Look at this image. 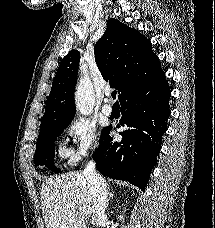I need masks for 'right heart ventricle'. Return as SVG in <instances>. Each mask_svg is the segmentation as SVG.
Wrapping results in <instances>:
<instances>
[{"label":"right heart ventricle","instance_id":"right-heart-ventricle-1","mask_svg":"<svg viewBox=\"0 0 215 228\" xmlns=\"http://www.w3.org/2000/svg\"><path fill=\"white\" fill-rule=\"evenodd\" d=\"M60 154H61L62 156L66 155V150H65L64 147H61V148H60Z\"/></svg>","mask_w":215,"mask_h":228}]
</instances>
